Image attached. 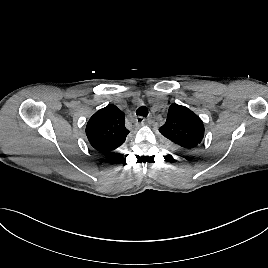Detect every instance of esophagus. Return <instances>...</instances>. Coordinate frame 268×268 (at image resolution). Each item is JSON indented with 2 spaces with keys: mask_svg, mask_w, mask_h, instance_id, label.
<instances>
[{
  "mask_svg": "<svg viewBox=\"0 0 268 268\" xmlns=\"http://www.w3.org/2000/svg\"><path fill=\"white\" fill-rule=\"evenodd\" d=\"M146 122H147V120L144 117H142V116H139L136 119V123L137 124H140V125H144V124H146Z\"/></svg>",
  "mask_w": 268,
  "mask_h": 268,
  "instance_id": "obj_1",
  "label": "esophagus"
}]
</instances>
